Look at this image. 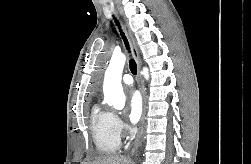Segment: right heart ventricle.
<instances>
[{"mask_svg":"<svg viewBox=\"0 0 251 164\" xmlns=\"http://www.w3.org/2000/svg\"><path fill=\"white\" fill-rule=\"evenodd\" d=\"M91 130L99 154L115 153L120 145V136L115 130L114 115L94 105L91 111Z\"/></svg>","mask_w":251,"mask_h":164,"instance_id":"obj_1","label":"right heart ventricle"}]
</instances>
